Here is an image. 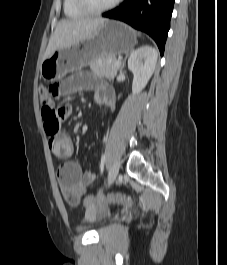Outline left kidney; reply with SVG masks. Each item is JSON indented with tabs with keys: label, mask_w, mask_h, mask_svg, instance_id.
Instances as JSON below:
<instances>
[{
	"label": "left kidney",
	"mask_w": 227,
	"mask_h": 265,
	"mask_svg": "<svg viewBox=\"0 0 227 265\" xmlns=\"http://www.w3.org/2000/svg\"><path fill=\"white\" fill-rule=\"evenodd\" d=\"M157 57L156 49L149 45H144L131 53L128 59V69L134 75L133 94H139L147 85L155 70Z\"/></svg>",
	"instance_id": "obj_1"
}]
</instances>
